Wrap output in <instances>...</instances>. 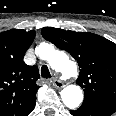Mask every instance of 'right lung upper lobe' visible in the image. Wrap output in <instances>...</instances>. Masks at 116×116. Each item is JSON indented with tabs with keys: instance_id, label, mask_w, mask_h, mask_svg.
Here are the masks:
<instances>
[{
	"instance_id": "obj_1",
	"label": "right lung upper lobe",
	"mask_w": 116,
	"mask_h": 116,
	"mask_svg": "<svg viewBox=\"0 0 116 116\" xmlns=\"http://www.w3.org/2000/svg\"><path fill=\"white\" fill-rule=\"evenodd\" d=\"M34 38V30L0 33V116H28L35 107L39 71L23 61Z\"/></svg>"
}]
</instances>
